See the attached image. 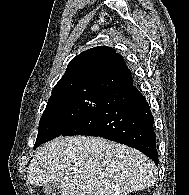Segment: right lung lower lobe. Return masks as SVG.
I'll return each mask as SVG.
<instances>
[{
    "mask_svg": "<svg viewBox=\"0 0 189 195\" xmlns=\"http://www.w3.org/2000/svg\"><path fill=\"white\" fill-rule=\"evenodd\" d=\"M153 115L133 83L108 94L77 126L63 136L103 137L133 147L158 165Z\"/></svg>",
    "mask_w": 189,
    "mask_h": 195,
    "instance_id": "obj_1",
    "label": "right lung lower lobe"
}]
</instances>
